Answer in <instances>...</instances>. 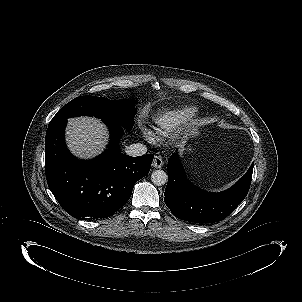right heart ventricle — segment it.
<instances>
[{"mask_svg": "<svg viewBox=\"0 0 302 302\" xmlns=\"http://www.w3.org/2000/svg\"><path fill=\"white\" fill-rule=\"evenodd\" d=\"M195 112V107L188 105L164 112L155 122L154 133L160 138L169 137L178 126L190 120Z\"/></svg>", "mask_w": 302, "mask_h": 302, "instance_id": "e07e8e85", "label": "right heart ventricle"}]
</instances>
